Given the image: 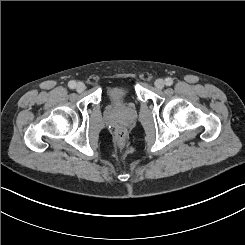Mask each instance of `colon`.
Wrapping results in <instances>:
<instances>
[{"mask_svg":"<svg viewBox=\"0 0 245 245\" xmlns=\"http://www.w3.org/2000/svg\"><path fill=\"white\" fill-rule=\"evenodd\" d=\"M115 140L118 144H123L126 140V132L122 129L116 131Z\"/></svg>","mask_w":245,"mask_h":245,"instance_id":"obj_1","label":"colon"}]
</instances>
